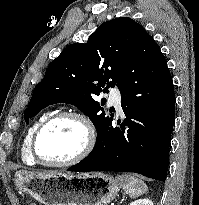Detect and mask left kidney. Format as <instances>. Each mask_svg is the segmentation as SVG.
Instances as JSON below:
<instances>
[{"mask_svg":"<svg viewBox=\"0 0 199 205\" xmlns=\"http://www.w3.org/2000/svg\"><path fill=\"white\" fill-rule=\"evenodd\" d=\"M129 205H153V202L147 198L136 200Z\"/></svg>","mask_w":199,"mask_h":205,"instance_id":"1","label":"left kidney"}]
</instances>
